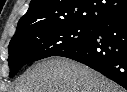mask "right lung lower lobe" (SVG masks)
Instances as JSON below:
<instances>
[{
    "label": "right lung lower lobe",
    "instance_id": "right-lung-lower-lobe-1",
    "mask_svg": "<svg viewBox=\"0 0 127 92\" xmlns=\"http://www.w3.org/2000/svg\"><path fill=\"white\" fill-rule=\"evenodd\" d=\"M56 56L81 62L127 89V12L95 25L88 39Z\"/></svg>",
    "mask_w": 127,
    "mask_h": 92
}]
</instances>
